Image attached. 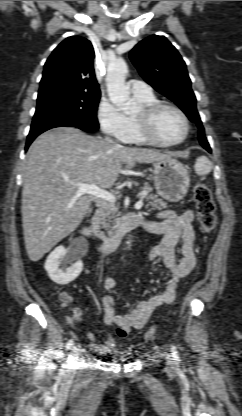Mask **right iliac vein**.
Masks as SVG:
<instances>
[{
  "label": "right iliac vein",
  "mask_w": 242,
  "mask_h": 416,
  "mask_svg": "<svg viewBox=\"0 0 242 416\" xmlns=\"http://www.w3.org/2000/svg\"><path fill=\"white\" fill-rule=\"evenodd\" d=\"M78 352H79L78 349L76 347H74L73 350H72V353H71V358H72L73 362L78 357Z\"/></svg>",
  "instance_id": "obj_1"
}]
</instances>
